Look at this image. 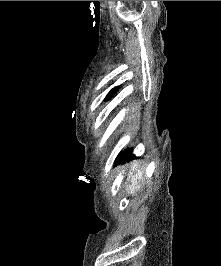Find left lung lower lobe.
Wrapping results in <instances>:
<instances>
[{"label":"left lung lower lobe","mask_w":221,"mask_h":266,"mask_svg":"<svg viewBox=\"0 0 221 266\" xmlns=\"http://www.w3.org/2000/svg\"><path fill=\"white\" fill-rule=\"evenodd\" d=\"M132 149H126L123 152H121L117 158L115 163L121 162V161H127L129 159L135 158V156L132 154Z\"/></svg>","instance_id":"1"}]
</instances>
